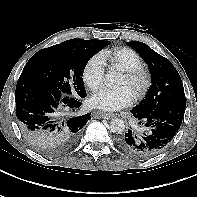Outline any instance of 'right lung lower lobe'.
<instances>
[{"mask_svg": "<svg viewBox=\"0 0 197 197\" xmlns=\"http://www.w3.org/2000/svg\"><path fill=\"white\" fill-rule=\"evenodd\" d=\"M17 118L23 134L40 146L64 151L79 139L90 113L73 116L81 102L63 96L59 88L44 79L21 75L16 85Z\"/></svg>", "mask_w": 197, "mask_h": 197, "instance_id": "98d812e1", "label": "right lung lower lobe"}]
</instances>
